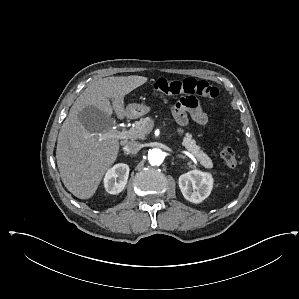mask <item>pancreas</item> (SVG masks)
<instances>
[{
  "instance_id": "cf45deb5",
  "label": "pancreas",
  "mask_w": 299,
  "mask_h": 299,
  "mask_svg": "<svg viewBox=\"0 0 299 299\" xmlns=\"http://www.w3.org/2000/svg\"><path fill=\"white\" fill-rule=\"evenodd\" d=\"M152 127L151 118H141L135 122V133L132 139L143 138L146 133L150 131ZM182 145L203 165L205 168H212V160L206 155L201 148L196 144V141L192 138V135L187 133L183 138Z\"/></svg>"
}]
</instances>
